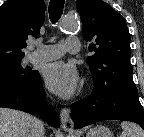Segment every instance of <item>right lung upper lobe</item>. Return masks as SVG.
<instances>
[{
  "mask_svg": "<svg viewBox=\"0 0 144 137\" xmlns=\"http://www.w3.org/2000/svg\"><path fill=\"white\" fill-rule=\"evenodd\" d=\"M44 19L43 0H7L0 7V67L22 60L28 36L39 37Z\"/></svg>",
  "mask_w": 144,
  "mask_h": 137,
  "instance_id": "right-lung-upper-lobe-1",
  "label": "right lung upper lobe"
}]
</instances>
